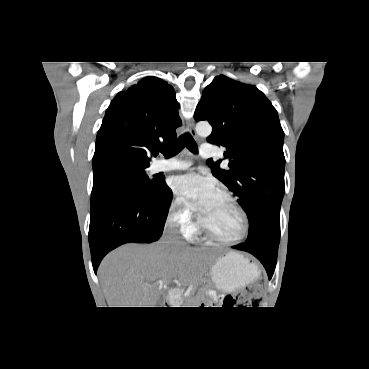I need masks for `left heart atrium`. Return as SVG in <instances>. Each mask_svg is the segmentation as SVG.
<instances>
[{"label":"left heart atrium","instance_id":"obj_1","mask_svg":"<svg viewBox=\"0 0 369 369\" xmlns=\"http://www.w3.org/2000/svg\"><path fill=\"white\" fill-rule=\"evenodd\" d=\"M173 189L192 209L202 213L217 194L212 180L197 173H189L174 179Z\"/></svg>","mask_w":369,"mask_h":369}]
</instances>
